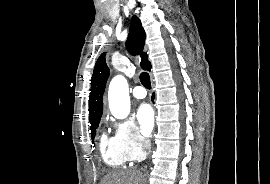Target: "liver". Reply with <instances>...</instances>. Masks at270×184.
Listing matches in <instances>:
<instances>
[{"mask_svg": "<svg viewBox=\"0 0 270 184\" xmlns=\"http://www.w3.org/2000/svg\"><path fill=\"white\" fill-rule=\"evenodd\" d=\"M141 178L137 171H117L104 176L101 184H140Z\"/></svg>", "mask_w": 270, "mask_h": 184, "instance_id": "1", "label": "liver"}]
</instances>
